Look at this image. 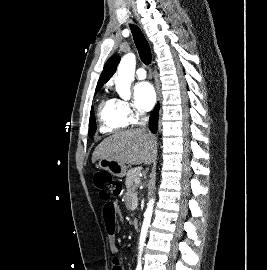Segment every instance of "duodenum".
<instances>
[{
    "label": "duodenum",
    "mask_w": 267,
    "mask_h": 270,
    "mask_svg": "<svg viewBox=\"0 0 267 270\" xmlns=\"http://www.w3.org/2000/svg\"><path fill=\"white\" fill-rule=\"evenodd\" d=\"M133 226H134V228H136V229L139 227V222H138L137 219L133 220Z\"/></svg>",
    "instance_id": "duodenum-1"
}]
</instances>
